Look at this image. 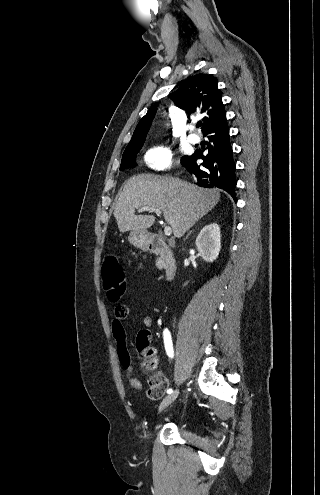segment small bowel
<instances>
[{
    "label": "small bowel",
    "mask_w": 320,
    "mask_h": 495,
    "mask_svg": "<svg viewBox=\"0 0 320 495\" xmlns=\"http://www.w3.org/2000/svg\"><path fill=\"white\" fill-rule=\"evenodd\" d=\"M122 306L123 307L119 310H116L115 308L111 329L115 339L117 340L122 362L127 368L128 381L134 389L140 390L143 386L141 381L133 376V368L130 365V358L126 349L125 329L123 325V320L128 317L130 309L126 305ZM143 323L146 327H150L152 325V318L146 314H143Z\"/></svg>",
    "instance_id": "c3829d8e"
}]
</instances>
